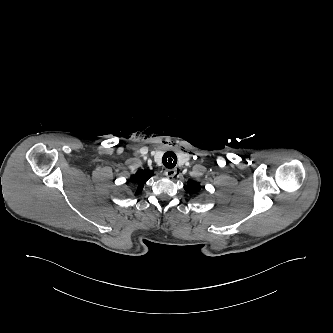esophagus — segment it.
Returning a JSON list of instances; mask_svg holds the SVG:
<instances>
[{"label":"esophagus","mask_w":333,"mask_h":333,"mask_svg":"<svg viewBox=\"0 0 333 333\" xmlns=\"http://www.w3.org/2000/svg\"><path fill=\"white\" fill-rule=\"evenodd\" d=\"M164 174H165L166 177L172 178V177H174L177 174V169L176 168L166 169L164 171Z\"/></svg>","instance_id":"34e87169"}]
</instances>
